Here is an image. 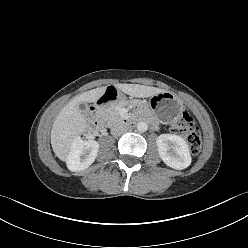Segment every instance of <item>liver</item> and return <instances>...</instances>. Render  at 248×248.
<instances>
[{
    "label": "liver",
    "instance_id": "liver-1",
    "mask_svg": "<svg viewBox=\"0 0 248 248\" xmlns=\"http://www.w3.org/2000/svg\"><path fill=\"white\" fill-rule=\"evenodd\" d=\"M115 87L123 93L136 97L148 98L164 90L139 84H116ZM106 91V87L89 90L69 101L56 117L51 130V145L55 155L66 161L72 143L88 130V122L83 115L80 104L96 102Z\"/></svg>",
    "mask_w": 248,
    "mask_h": 248
}]
</instances>
